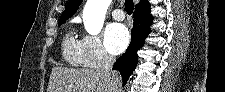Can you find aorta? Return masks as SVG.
<instances>
[{
  "instance_id": "1",
  "label": "aorta",
  "mask_w": 225,
  "mask_h": 92,
  "mask_svg": "<svg viewBox=\"0 0 225 92\" xmlns=\"http://www.w3.org/2000/svg\"><path fill=\"white\" fill-rule=\"evenodd\" d=\"M111 0H87L83 10V23L90 35H97L104 23Z\"/></svg>"
}]
</instances>
